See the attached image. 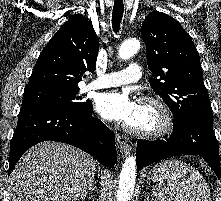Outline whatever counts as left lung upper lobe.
<instances>
[{"instance_id":"left-lung-upper-lobe-1","label":"left lung upper lobe","mask_w":221,"mask_h":201,"mask_svg":"<svg viewBox=\"0 0 221 201\" xmlns=\"http://www.w3.org/2000/svg\"><path fill=\"white\" fill-rule=\"evenodd\" d=\"M141 36L154 76L150 85L172 111L174 126L195 117L213 119L198 52L179 22L154 11L146 16Z\"/></svg>"}]
</instances>
